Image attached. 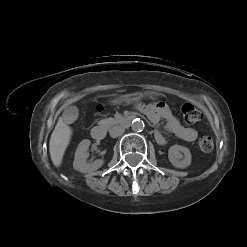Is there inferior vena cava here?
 Returning <instances> with one entry per match:
<instances>
[{
    "mask_svg": "<svg viewBox=\"0 0 247 247\" xmlns=\"http://www.w3.org/2000/svg\"><path fill=\"white\" fill-rule=\"evenodd\" d=\"M125 129L121 126H115L110 129L109 133L112 138H116L124 133Z\"/></svg>",
    "mask_w": 247,
    "mask_h": 247,
    "instance_id": "602c4592",
    "label": "inferior vena cava"
}]
</instances>
